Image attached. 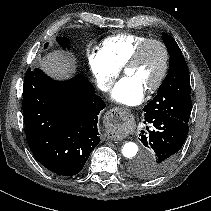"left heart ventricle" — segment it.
Instances as JSON below:
<instances>
[{
    "label": "left heart ventricle",
    "mask_w": 211,
    "mask_h": 211,
    "mask_svg": "<svg viewBox=\"0 0 211 211\" xmlns=\"http://www.w3.org/2000/svg\"><path fill=\"white\" fill-rule=\"evenodd\" d=\"M162 67V52L151 45L145 49L139 61L125 70V75L133 77L147 90L158 78Z\"/></svg>",
    "instance_id": "left-heart-ventricle-1"
}]
</instances>
